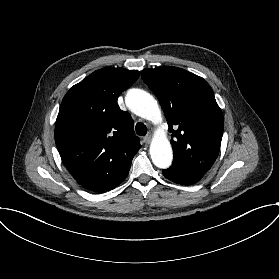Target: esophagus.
Returning <instances> with one entry per match:
<instances>
[{"mask_svg":"<svg viewBox=\"0 0 279 279\" xmlns=\"http://www.w3.org/2000/svg\"><path fill=\"white\" fill-rule=\"evenodd\" d=\"M151 137H152V135H151V133H148L145 137H144V143L145 144H149L150 143V141H151Z\"/></svg>","mask_w":279,"mask_h":279,"instance_id":"esophagus-1","label":"esophagus"}]
</instances>
